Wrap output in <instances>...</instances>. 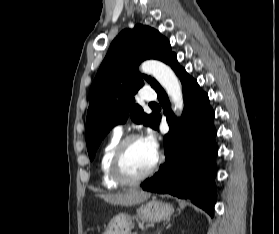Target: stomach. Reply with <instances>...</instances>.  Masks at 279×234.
<instances>
[{
  "label": "stomach",
  "mask_w": 279,
  "mask_h": 234,
  "mask_svg": "<svg viewBox=\"0 0 279 234\" xmlns=\"http://www.w3.org/2000/svg\"><path fill=\"white\" fill-rule=\"evenodd\" d=\"M173 211L172 206L169 204L152 200L139 208L138 218L143 222H159L169 219ZM134 219L135 217L120 213L110 220L103 234H131L130 232Z\"/></svg>",
  "instance_id": "obj_1"
}]
</instances>
